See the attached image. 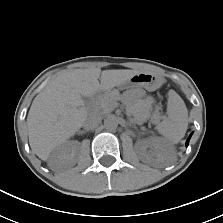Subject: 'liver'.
<instances>
[{
    "instance_id": "obj_1",
    "label": "liver",
    "mask_w": 223,
    "mask_h": 223,
    "mask_svg": "<svg viewBox=\"0 0 223 223\" xmlns=\"http://www.w3.org/2000/svg\"><path fill=\"white\" fill-rule=\"evenodd\" d=\"M135 70L75 69L55 77L32 102L27 125L32 151L43 161L72 137L88 117L82 97L127 83ZM100 78V83L98 79Z\"/></svg>"
}]
</instances>
